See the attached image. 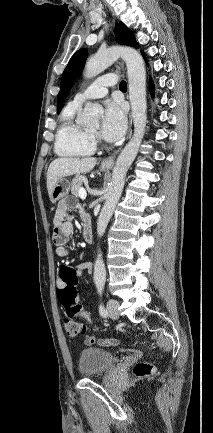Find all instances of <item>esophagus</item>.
Wrapping results in <instances>:
<instances>
[{"instance_id": "obj_1", "label": "esophagus", "mask_w": 213, "mask_h": 433, "mask_svg": "<svg viewBox=\"0 0 213 433\" xmlns=\"http://www.w3.org/2000/svg\"><path fill=\"white\" fill-rule=\"evenodd\" d=\"M119 64H120L121 67H124V63H123L122 60L119 61ZM131 126H132V122H131V118H130V121H129L128 138H130L131 135H132V129H131ZM118 152H119V150L115 151L112 155H110V156H108L107 158H105V159L102 161L101 165H102L103 167H108V168L112 167V166L114 165L115 158H116Z\"/></svg>"}]
</instances>
